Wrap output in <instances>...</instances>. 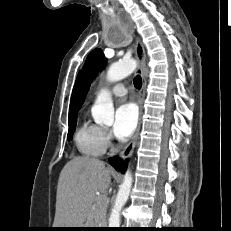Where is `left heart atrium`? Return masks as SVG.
Listing matches in <instances>:
<instances>
[{
  "instance_id": "1",
  "label": "left heart atrium",
  "mask_w": 231,
  "mask_h": 231,
  "mask_svg": "<svg viewBox=\"0 0 231 231\" xmlns=\"http://www.w3.org/2000/svg\"><path fill=\"white\" fill-rule=\"evenodd\" d=\"M138 123V111L133 103L120 105L115 113L113 133L119 139H126L134 132Z\"/></svg>"
}]
</instances>
